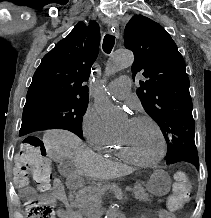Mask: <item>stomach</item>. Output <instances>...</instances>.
Returning <instances> with one entry per match:
<instances>
[{
    "label": "stomach",
    "mask_w": 211,
    "mask_h": 218,
    "mask_svg": "<svg viewBox=\"0 0 211 218\" xmlns=\"http://www.w3.org/2000/svg\"><path fill=\"white\" fill-rule=\"evenodd\" d=\"M171 187V179L164 170H156L150 177L146 188L155 195H165Z\"/></svg>",
    "instance_id": "0dacf381"
}]
</instances>
